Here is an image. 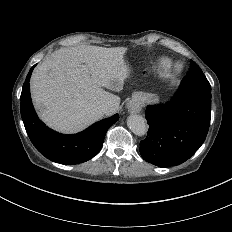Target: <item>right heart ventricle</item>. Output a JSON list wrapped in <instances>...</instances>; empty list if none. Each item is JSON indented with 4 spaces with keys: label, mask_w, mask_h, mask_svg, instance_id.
I'll use <instances>...</instances> for the list:
<instances>
[{
    "label": "right heart ventricle",
    "mask_w": 232,
    "mask_h": 232,
    "mask_svg": "<svg viewBox=\"0 0 232 232\" xmlns=\"http://www.w3.org/2000/svg\"><path fill=\"white\" fill-rule=\"evenodd\" d=\"M172 65V61L168 57H159L152 61L148 67L150 73L163 75L165 74Z\"/></svg>",
    "instance_id": "right-heart-ventricle-1"
}]
</instances>
